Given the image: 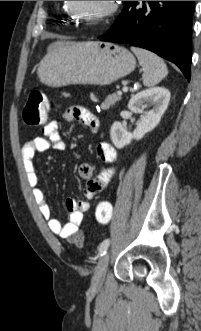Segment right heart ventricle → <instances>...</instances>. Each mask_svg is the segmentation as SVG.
Listing matches in <instances>:
<instances>
[{
	"label": "right heart ventricle",
	"instance_id": "1",
	"mask_svg": "<svg viewBox=\"0 0 201 331\" xmlns=\"http://www.w3.org/2000/svg\"><path fill=\"white\" fill-rule=\"evenodd\" d=\"M68 14H69V16H71V17H72V16H74V13H73V11H72V10H71V11H69V12H68Z\"/></svg>",
	"mask_w": 201,
	"mask_h": 331
}]
</instances>
